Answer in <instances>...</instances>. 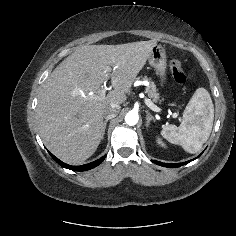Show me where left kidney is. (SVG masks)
<instances>
[{"instance_id":"left-kidney-1","label":"left kidney","mask_w":236,"mask_h":236,"mask_svg":"<svg viewBox=\"0 0 236 236\" xmlns=\"http://www.w3.org/2000/svg\"><path fill=\"white\" fill-rule=\"evenodd\" d=\"M157 143L158 145H160L161 147H165V144L162 142V140L160 138H157Z\"/></svg>"}]
</instances>
